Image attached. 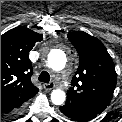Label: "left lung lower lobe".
<instances>
[{"instance_id":"obj_1","label":"left lung lower lobe","mask_w":122,"mask_h":122,"mask_svg":"<svg viewBox=\"0 0 122 122\" xmlns=\"http://www.w3.org/2000/svg\"><path fill=\"white\" fill-rule=\"evenodd\" d=\"M59 109L65 116L79 122L90 121L97 115V113L85 107H81L79 105L67 101L65 105L61 106Z\"/></svg>"}]
</instances>
